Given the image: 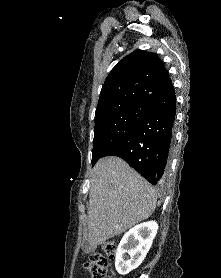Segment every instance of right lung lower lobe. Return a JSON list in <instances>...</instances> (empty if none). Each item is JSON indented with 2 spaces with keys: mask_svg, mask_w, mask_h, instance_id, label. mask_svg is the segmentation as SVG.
I'll list each match as a JSON object with an SVG mask.
<instances>
[{
  "mask_svg": "<svg viewBox=\"0 0 221 278\" xmlns=\"http://www.w3.org/2000/svg\"><path fill=\"white\" fill-rule=\"evenodd\" d=\"M150 112L127 135L111 145L102 157L118 156L137 170L151 184L161 182L166 174L176 114L174 87L146 100Z\"/></svg>",
  "mask_w": 221,
  "mask_h": 278,
  "instance_id": "1",
  "label": "right lung lower lobe"
}]
</instances>
